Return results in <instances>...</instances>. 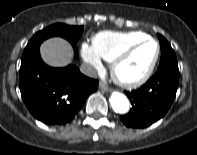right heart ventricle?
I'll list each match as a JSON object with an SVG mask.
<instances>
[{
    "instance_id": "right-heart-ventricle-1",
    "label": "right heart ventricle",
    "mask_w": 197,
    "mask_h": 155,
    "mask_svg": "<svg viewBox=\"0 0 197 155\" xmlns=\"http://www.w3.org/2000/svg\"><path fill=\"white\" fill-rule=\"evenodd\" d=\"M148 37L140 31H103L93 37L92 46L100 58L112 62L127 46Z\"/></svg>"
}]
</instances>
